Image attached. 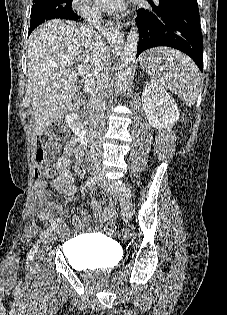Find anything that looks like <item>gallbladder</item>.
Returning a JSON list of instances; mask_svg holds the SVG:
<instances>
[{
    "label": "gallbladder",
    "mask_w": 227,
    "mask_h": 315,
    "mask_svg": "<svg viewBox=\"0 0 227 315\" xmlns=\"http://www.w3.org/2000/svg\"><path fill=\"white\" fill-rule=\"evenodd\" d=\"M61 119H62V116H59L56 120L61 121Z\"/></svg>",
    "instance_id": "bac80fb5"
}]
</instances>
